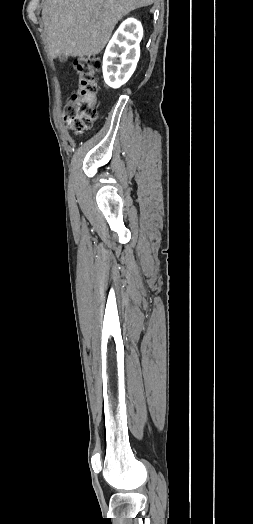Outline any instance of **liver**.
I'll list each match as a JSON object with an SVG mask.
<instances>
[{"instance_id":"1","label":"liver","mask_w":253,"mask_h":524,"mask_svg":"<svg viewBox=\"0 0 253 524\" xmlns=\"http://www.w3.org/2000/svg\"><path fill=\"white\" fill-rule=\"evenodd\" d=\"M154 0H45L42 20L51 58L94 56L110 39L117 22Z\"/></svg>"}]
</instances>
